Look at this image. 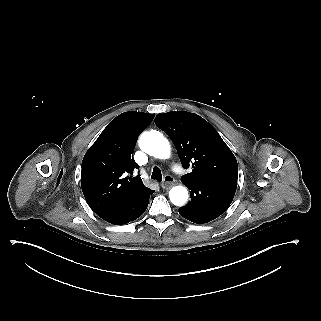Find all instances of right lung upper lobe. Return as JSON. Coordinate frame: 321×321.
<instances>
[{"label": "right lung upper lobe", "instance_id": "obj_1", "mask_svg": "<svg viewBox=\"0 0 321 321\" xmlns=\"http://www.w3.org/2000/svg\"><path fill=\"white\" fill-rule=\"evenodd\" d=\"M153 118L143 112L118 115L86 152L81 187L96 214L125 204L148 189L140 175H131L139 168L133 159L137 138Z\"/></svg>", "mask_w": 321, "mask_h": 321}]
</instances>
